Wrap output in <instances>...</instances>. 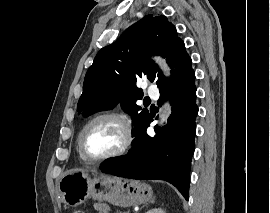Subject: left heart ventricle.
<instances>
[{"mask_svg":"<svg viewBox=\"0 0 270 213\" xmlns=\"http://www.w3.org/2000/svg\"><path fill=\"white\" fill-rule=\"evenodd\" d=\"M123 126L112 119H102L90 126L84 138L87 153L102 157L119 149L124 142Z\"/></svg>","mask_w":270,"mask_h":213,"instance_id":"1","label":"left heart ventricle"}]
</instances>
